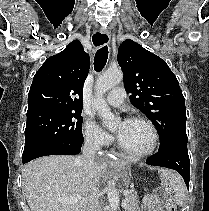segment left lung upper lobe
Listing matches in <instances>:
<instances>
[{
  "instance_id": "left-lung-upper-lobe-1",
  "label": "left lung upper lobe",
  "mask_w": 209,
  "mask_h": 211,
  "mask_svg": "<svg viewBox=\"0 0 209 211\" xmlns=\"http://www.w3.org/2000/svg\"><path fill=\"white\" fill-rule=\"evenodd\" d=\"M118 63L130 102L153 121L160 136L159 150L187 138L186 110L178 80L167 63L132 40L118 49Z\"/></svg>"
}]
</instances>
